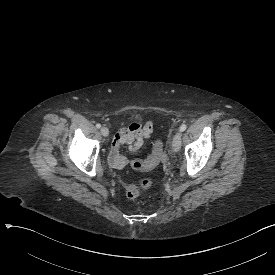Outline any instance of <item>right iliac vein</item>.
Returning <instances> with one entry per match:
<instances>
[{"mask_svg": "<svg viewBox=\"0 0 275 275\" xmlns=\"http://www.w3.org/2000/svg\"><path fill=\"white\" fill-rule=\"evenodd\" d=\"M101 134L104 136V137H107L109 135V129L107 127H102L101 128Z\"/></svg>", "mask_w": 275, "mask_h": 275, "instance_id": "right-iliac-vein-1", "label": "right iliac vein"}]
</instances>
